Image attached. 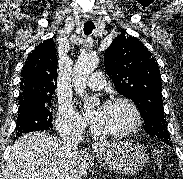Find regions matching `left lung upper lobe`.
I'll use <instances>...</instances> for the list:
<instances>
[{
    "label": "left lung upper lobe",
    "instance_id": "5c2ea615",
    "mask_svg": "<svg viewBox=\"0 0 183 179\" xmlns=\"http://www.w3.org/2000/svg\"><path fill=\"white\" fill-rule=\"evenodd\" d=\"M121 32L105 50L104 64L115 89L131 99L152 136L170 141L166 128L158 63L139 39Z\"/></svg>",
    "mask_w": 183,
    "mask_h": 179
}]
</instances>
